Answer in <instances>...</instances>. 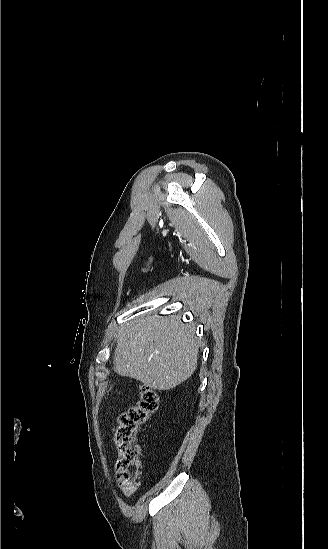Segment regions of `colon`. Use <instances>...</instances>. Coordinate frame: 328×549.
I'll return each mask as SVG.
<instances>
[{
    "label": "colon",
    "mask_w": 328,
    "mask_h": 549,
    "mask_svg": "<svg viewBox=\"0 0 328 549\" xmlns=\"http://www.w3.org/2000/svg\"><path fill=\"white\" fill-rule=\"evenodd\" d=\"M139 393V402L119 417L113 432V443L117 451V480L122 491L128 496L136 491L139 480L137 433L159 404V395L153 388L143 385L139 388Z\"/></svg>",
    "instance_id": "obj_1"
}]
</instances>
